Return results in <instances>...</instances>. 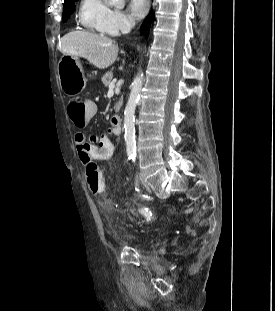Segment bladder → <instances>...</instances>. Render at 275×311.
Instances as JSON below:
<instances>
[{"label":"bladder","mask_w":275,"mask_h":311,"mask_svg":"<svg viewBox=\"0 0 275 311\" xmlns=\"http://www.w3.org/2000/svg\"><path fill=\"white\" fill-rule=\"evenodd\" d=\"M115 231L118 239L123 243H127L132 239L131 233L122 224H117L115 226Z\"/></svg>","instance_id":"bladder-1"}]
</instances>
